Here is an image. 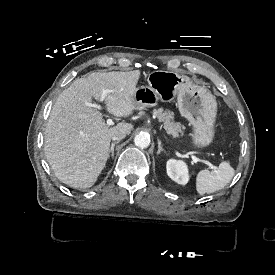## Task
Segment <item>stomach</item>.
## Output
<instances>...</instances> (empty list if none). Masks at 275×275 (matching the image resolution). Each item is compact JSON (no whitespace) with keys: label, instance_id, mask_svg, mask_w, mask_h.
Here are the masks:
<instances>
[{"label":"stomach","instance_id":"obj_1","mask_svg":"<svg viewBox=\"0 0 275 275\" xmlns=\"http://www.w3.org/2000/svg\"><path fill=\"white\" fill-rule=\"evenodd\" d=\"M147 82L148 86L137 87L133 93L132 104L136 110L177 97L181 115L193 125V145L203 148L212 142L217 101L208 88L194 84L187 75L175 71H153Z\"/></svg>","mask_w":275,"mask_h":275}]
</instances>
